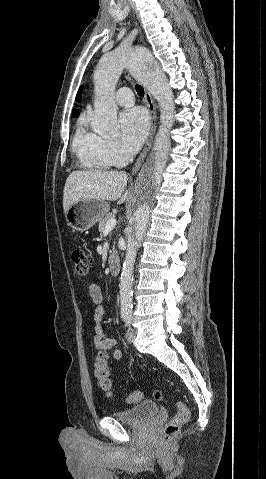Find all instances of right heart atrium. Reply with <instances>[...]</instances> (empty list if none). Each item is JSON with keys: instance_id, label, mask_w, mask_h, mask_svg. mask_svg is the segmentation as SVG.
Segmentation results:
<instances>
[{"instance_id": "1", "label": "right heart atrium", "mask_w": 266, "mask_h": 479, "mask_svg": "<svg viewBox=\"0 0 266 479\" xmlns=\"http://www.w3.org/2000/svg\"><path fill=\"white\" fill-rule=\"evenodd\" d=\"M101 150L113 166H123L130 158L127 150L117 140L102 138Z\"/></svg>"}]
</instances>
